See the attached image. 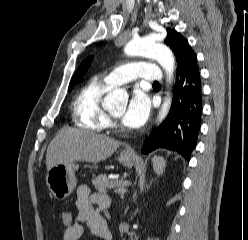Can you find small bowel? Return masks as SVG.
Here are the masks:
<instances>
[{
	"instance_id": "obj_1",
	"label": "small bowel",
	"mask_w": 248,
	"mask_h": 240,
	"mask_svg": "<svg viewBox=\"0 0 248 240\" xmlns=\"http://www.w3.org/2000/svg\"><path fill=\"white\" fill-rule=\"evenodd\" d=\"M76 207L77 215L72 224L65 228L62 240H79L84 229L82 223H87L92 232L96 225L104 221L100 212L107 209L110 200L107 195L101 193H93L89 186L80 185L76 190Z\"/></svg>"
}]
</instances>
